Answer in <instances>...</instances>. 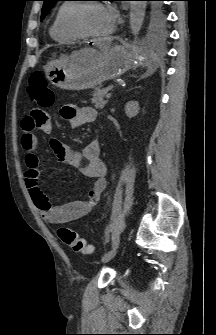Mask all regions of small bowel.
<instances>
[{
  "mask_svg": "<svg viewBox=\"0 0 216 335\" xmlns=\"http://www.w3.org/2000/svg\"><path fill=\"white\" fill-rule=\"evenodd\" d=\"M61 114L68 119L72 128L92 123L97 116L94 108L77 107L73 104L64 106ZM50 119L48 108H31L29 117L22 122L21 145L26 152L24 161L27 167L25 181L30 196L44 219L50 224H64L87 215L96 207L106 187V168L100 156L97 139L90 140L81 151H75L58 140H52L51 147L59 161L78 167L86 178L93 180L86 199L59 206L52 205L40 182V159L36 154L39 140L35 134L36 130L51 134L53 127Z\"/></svg>",
  "mask_w": 216,
  "mask_h": 335,
  "instance_id": "c3829d8e",
  "label": "small bowel"
}]
</instances>
